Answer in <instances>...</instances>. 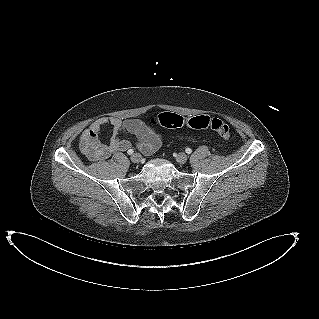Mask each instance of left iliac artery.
Wrapping results in <instances>:
<instances>
[{
  "label": "left iliac artery",
  "mask_w": 319,
  "mask_h": 319,
  "mask_svg": "<svg viewBox=\"0 0 319 319\" xmlns=\"http://www.w3.org/2000/svg\"><path fill=\"white\" fill-rule=\"evenodd\" d=\"M185 151L187 154H190L192 152V150L190 148H186Z\"/></svg>",
  "instance_id": "left-iliac-artery-1"
}]
</instances>
